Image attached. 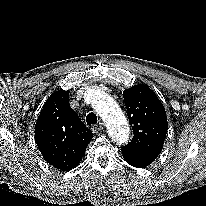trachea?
Returning <instances> with one entry per match:
<instances>
[{
    "label": "trachea",
    "instance_id": "trachea-1",
    "mask_svg": "<svg viewBox=\"0 0 206 206\" xmlns=\"http://www.w3.org/2000/svg\"><path fill=\"white\" fill-rule=\"evenodd\" d=\"M86 122H87V125L96 124L97 123V116H96V114L93 113V112H90L86 116Z\"/></svg>",
    "mask_w": 206,
    "mask_h": 206
}]
</instances>
